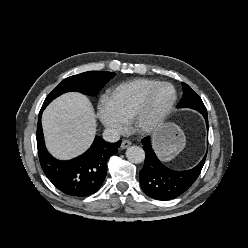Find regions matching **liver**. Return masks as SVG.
I'll use <instances>...</instances> for the list:
<instances>
[{"mask_svg": "<svg viewBox=\"0 0 248 248\" xmlns=\"http://www.w3.org/2000/svg\"><path fill=\"white\" fill-rule=\"evenodd\" d=\"M42 127L50 153L70 159L86 151L94 140L96 119L89 99L80 93H66L43 112Z\"/></svg>", "mask_w": 248, "mask_h": 248, "instance_id": "obj_1", "label": "liver"}]
</instances>
